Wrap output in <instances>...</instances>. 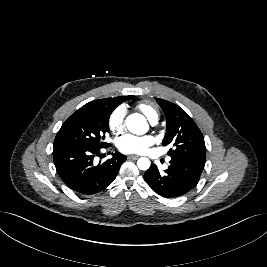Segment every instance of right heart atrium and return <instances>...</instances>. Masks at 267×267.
<instances>
[{
  "mask_svg": "<svg viewBox=\"0 0 267 267\" xmlns=\"http://www.w3.org/2000/svg\"><path fill=\"white\" fill-rule=\"evenodd\" d=\"M126 108L124 106L116 107L110 114L108 119L109 129L113 133H120L125 126Z\"/></svg>",
  "mask_w": 267,
  "mask_h": 267,
  "instance_id": "1",
  "label": "right heart atrium"
}]
</instances>
